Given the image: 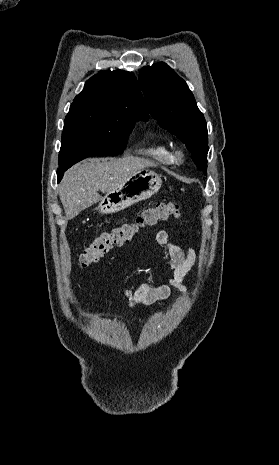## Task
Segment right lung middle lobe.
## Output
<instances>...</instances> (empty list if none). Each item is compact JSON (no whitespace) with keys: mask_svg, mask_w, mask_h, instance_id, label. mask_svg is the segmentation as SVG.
Segmentation results:
<instances>
[{"mask_svg":"<svg viewBox=\"0 0 279 465\" xmlns=\"http://www.w3.org/2000/svg\"><path fill=\"white\" fill-rule=\"evenodd\" d=\"M134 118H121L99 126H75L64 128L59 152V169L90 156H116L121 154L127 143Z\"/></svg>","mask_w":279,"mask_h":465,"instance_id":"right-lung-middle-lobe-1","label":"right lung middle lobe"}]
</instances>
